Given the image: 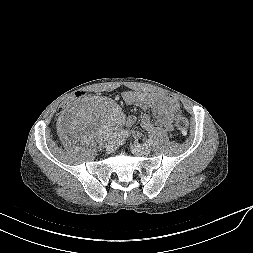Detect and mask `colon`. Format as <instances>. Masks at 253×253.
Listing matches in <instances>:
<instances>
[{
    "label": "colon",
    "mask_w": 253,
    "mask_h": 253,
    "mask_svg": "<svg viewBox=\"0 0 253 253\" xmlns=\"http://www.w3.org/2000/svg\"><path fill=\"white\" fill-rule=\"evenodd\" d=\"M91 97V92L89 90H78L74 93L68 94L65 96L57 106V111L59 113H64L68 106L73 103H76L81 99H89ZM176 128L181 134H186L188 132L189 123L188 120L184 117H180L176 121Z\"/></svg>",
    "instance_id": "1"
}]
</instances>
